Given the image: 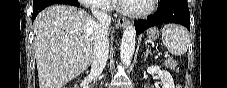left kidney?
Masks as SVG:
<instances>
[{
	"label": "left kidney",
	"instance_id": "left-kidney-1",
	"mask_svg": "<svg viewBox=\"0 0 227 88\" xmlns=\"http://www.w3.org/2000/svg\"><path fill=\"white\" fill-rule=\"evenodd\" d=\"M149 74H158L162 88H175L171 74L166 70H161L159 66L147 67Z\"/></svg>",
	"mask_w": 227,
	"mask_h": 88
}]
</instances>
